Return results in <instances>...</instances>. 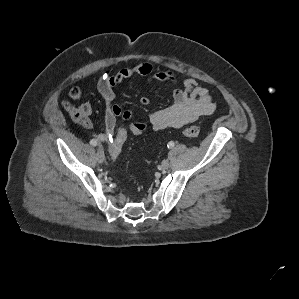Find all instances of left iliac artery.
I'll return each mask as SVG.
<instances>
[{
  "instance_id": "44dca946",
  "label": "left iliac artery",
  "mask_w": 299,
  "mask_h": 299,
  "mask_svg": "<svg viewBox=\"0 0 299 299\" xmlns=\"http://www.w3.org/2000/svg\"><path fill=\"white\" fill-rule=\"evenodd\" d=\"M168 148H172V147H174V142L173 141H170L169 143H168Z\"/></svg>"
}]
</instances>
